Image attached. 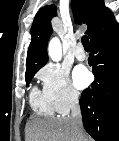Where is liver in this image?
Instances as JSON below:
<instances>
[{
	"label": "liver",
	"instance_id": "1",
	"mask_svg": "<svg viewBox=\"0 0 119 141\" xmlns=\"http://www.w3.org/2000/svg\"><path fill=\"white\" fill-rule=\"evenodd\" d=\"M27 141H87L84 131L79 138L69 117L41 119L33 117L27 123Z\"/></svg>",
	"mask_w": 119,
	"mask_h": 141
}]
</instances>
